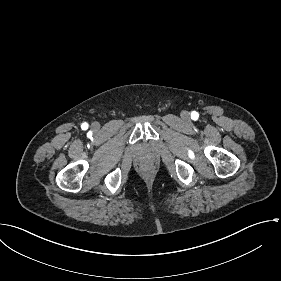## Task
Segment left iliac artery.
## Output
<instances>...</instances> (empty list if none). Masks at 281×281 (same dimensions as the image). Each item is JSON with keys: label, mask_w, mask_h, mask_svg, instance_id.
Wrapping results in <instances>:
<instances>
[{"label": "left iliac artery", "mask_w": 281, "mask_h": 281, "mask_svg": "<svg viewBox=\"0 0 281 281\" xmlns=\"http://www.w3.org/2000/svg\"><path fill=\"white\" fill-rule=\"evenodd\" d=\"M192 119H197L198 118V113L197 112H193L191 114Z\"/></svg>", "instance_id": "44dca946"}]
</instances>
